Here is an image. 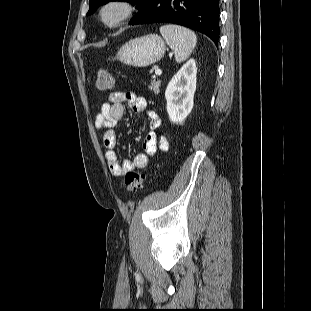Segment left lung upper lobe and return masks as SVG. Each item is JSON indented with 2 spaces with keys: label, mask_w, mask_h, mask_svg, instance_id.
<instances>
[{
  "label": "left lung upper lobe",
  "mask_w": 311,
  "mask_h": 311,
  "mask_svg": "<svg viewBox=\"0 0 311 311\" xmlns=\"http://www.w3.org/2000/svg\"><path fill=\"white\" fill-rule=\"evenodd\" d=\"M110 1H126L132 5H136V8H140L145 0H89V11L87 15L92 14L95 10L102 4L108 3Z\"/></svg>",
  "instance_id": "left-lung-upper-lobe-1"
}]
</instances>
